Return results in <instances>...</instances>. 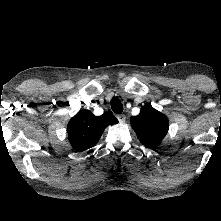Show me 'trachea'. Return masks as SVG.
I'll list each match as a JSON object with an SVG mask.
<instances>
[{"label": "trachea", "mask_w": 221, "mask_h": 221, "mask_svg": "<svg viewBox=\"0 0 221 221\" xmlns=\"http://www.w3.org/2000/svg\"><path fill=\"white\" fill-rule=\"evenodd\" d=\"M111 108H112L113 112H115V113H122L123 112V104L116 97L112 98V100H111Z\"/></svg>", "instance_id": "trachea-1"}]
</instances>
